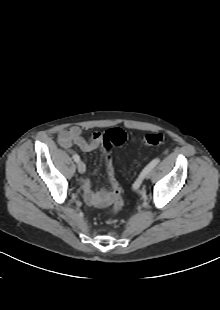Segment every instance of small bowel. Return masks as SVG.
<instances>
[{
    "label": "small bowel",
    "mask_w": 220,
    "mask_h": 310,
    "mask_svg": "<svg viewBox=\"0 0 220 310\" xmlns=\"http://www.w3.org/2000/svg\"><path fill=\"white\" fill-rule=\"evenodd\" d=\"M59 144L72 152L71 148L76 145L81 151L90 153L101 149L102 135L99 132L92 133L89 137H84L82 130L78 126H71L62 130L58 135ZM84 200L93 206L103 207L106 204L110 194L106 190L94 191L89 178H84L81 183Z\"/></svg>",
    "instance_id": "c3829d8e"
}]
</instances>
